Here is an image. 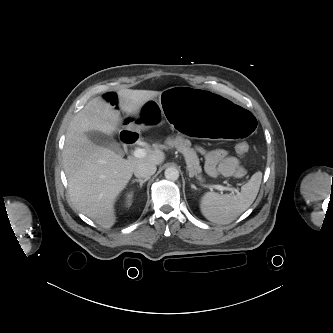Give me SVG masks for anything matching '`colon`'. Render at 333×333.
<instances>
[{"mask_svg":"<svg viewBox=\"0 0 333 333\" xmlns=\"http://www.w3.org/2000/svg\"><path fill=\"white\" fill-rule=\"evenodd\" d=\"M249 150V146L245 142H240L236 146V151L239 155H245ZM246 170L243 167H239L235 170L234 175L237 178H243L246 175Z\"/></svg>","mask_w":333,"mask_h":333,"instance_id":"5ec220e1","label":"colon"}]
</instances>
